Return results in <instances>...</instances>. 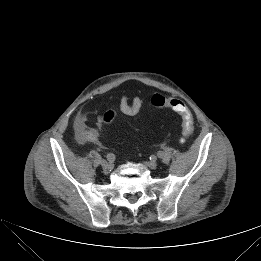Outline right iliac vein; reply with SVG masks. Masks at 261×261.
I'll return each instance as SVG.
<instances>
[{"instance_id":"right-iliac-vein-1","label":"right iliac vein","mask_w":261,"mask_h":261,"mask_svg":"<svg viewBox=\"0 0 261 261\" xmlns=\"http://www.w3.org/2000/svg\"><path fill=\"white\" fill-rule=\"evenodd\" d=\"M101 166L105 172H109L113 169V164L105 160L101 161Z\"/></svg>"}]
</instances>
